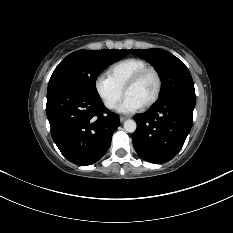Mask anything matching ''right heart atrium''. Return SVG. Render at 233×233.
Returning <instances> with one entry per match:
<instances>
[{
  "mask_svg": "<svg viewBox=\"0 0 233 233\" xmlns=\"http://www.w3.org/2000/svg\"><path fill=\"white\" fill-rule=\"evenodd\" d=\"M94 89L107 109H114L123 97V90L108 76L98 75L94 81Z\"/></svg>",
  "mask_w": 233,
  "mask_h": 233,
  "instance_id": "obj_1",
  "label": "right heart atrium"
}]
</instances>
